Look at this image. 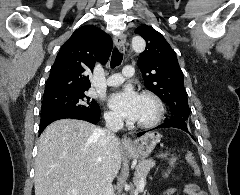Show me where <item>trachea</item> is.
<instances>
[{
    "instance_id": "1",
    "label": "trachea",
    "mask_w": 240,
    "mask_h": 195,
    "mask_svg": "<svg viewBox=\"0 0 240 195\" xmlns=\"http://www.w3.org/2000/svg\"><path fill=\"white\" fill-rule=\"evenodd\" d=\"M123 53H121L118 48H115L111 56V68L118 67L122 63Z\"/></svg>"
}]
</instances>
